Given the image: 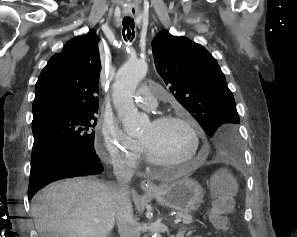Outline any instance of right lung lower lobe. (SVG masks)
Here are the masks:
<instances>
[{
  "label": "right lung lower lobe",
  "mask_w": 297,
  "mask_h": 237,
  "mask_svg": "<svg viewBox=\"0 0 297 237\" xmlns=\"http://www.w3.org/2000/svg\"><path fill=\"white\" fill-rule=\"evenodd\" d=\"M28 197L51 182L76 176L97 175L103 171L95 150L57 143L39 148L31 155Z\"/></svg>",
  "instance_id": "1"
}]
</instances>
